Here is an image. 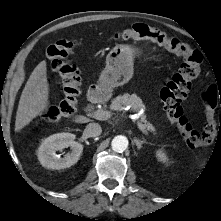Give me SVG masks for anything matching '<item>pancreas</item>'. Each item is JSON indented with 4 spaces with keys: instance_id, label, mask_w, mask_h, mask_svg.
<instances>
[{
    "instance_id": "1",
    "label": "pancreas",
    "mask_w": 221,
    "mask_h": 221,
    "mask_svg": "<svg viewBox=\"0 0 221 221\" xmlns=\"http://www.w3.org/2000/svg\"><path fill=\"white\" fill-rule=\"evenodd\" d=\"M130 106L134 112H140V110L145 109V105L143 104L140 97L136 94H128L125 93L123 95H119L112 100L110 108L112 110H124L125 107ZM139 122H141L145 130L155 133V127L146 120V115L141 114Z\"/></svg>"
}]
</instances>
